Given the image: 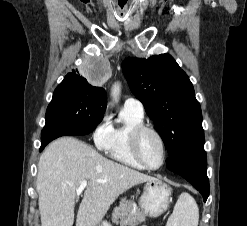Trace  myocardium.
Wrapping results in <instances>:
<instances>
[{"mask_svg":"<svg viewBox=\"0 0 247 226\" xmlns=\"http://www.w3.org/2000/svg\"><path fill=\"white\" fill-rule=\"evenodd\" d=\"M145 132L153 133L158 138V140L160 141V144H161L162 159H161L160 163L156 166L148 165L142 159L140 152H139V139H140L141 135ZM129 144H130V150H131L132 156L137 161V163L140 164L143 168L148 169V170H158L165 164L166 159H167L166 142H165V139L162 136V134L157 129H155L154 127L147 126L144 124L135 127L130 133Z\"/></svg>","mask_w":247,"mask_h":226,"instance_id":"obj_1","label":"myocardium"}]
</instances>
